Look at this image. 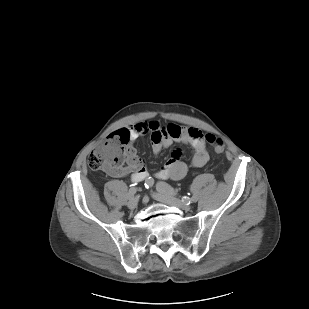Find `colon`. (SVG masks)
<instances>
[{
    "label": "colon",
    "mask_w": 309,
    "mask_h": 309,
    "mask_svg": "<svg viewBox=\"0 0 309 309\" xmlns=\"http://www.w3.org/2000/svg\"><path fill=\"white\" fill-rule=\"evenodd\" d=\"M204 139L213 146L215 152L224 151L225 144L222 139L212 134L205 135ZM126 142L127 138L124 135L119 133L109 135L89 154L87 159L89 168L108 172L117 171L126 159Z\"/></svg>",
    "instance_id": "1"
}]
</instances>
